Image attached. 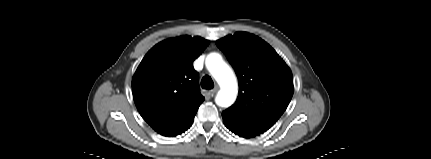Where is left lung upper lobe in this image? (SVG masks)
<instances>
[{"mask_svg":"<svg viewBox=\"0 0 431 159\" xmlns=\"http://www.w3.org/2000/svg\"><path fill=\"white\" fill-rule=\"evenodd\" d=\"M216 44L239 80L237 100L222 116L242 125L269 129L293 96L290 68L269 44L250 33L237 32Z\"/></svg>","mask_w":431,"mask_h":159,"instance_id":"left-lung-upper-lobe-1","label":"left lung upper lobe"}]
</instances>
